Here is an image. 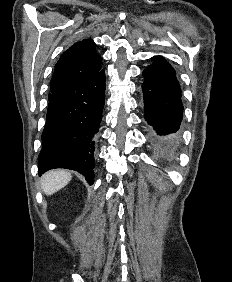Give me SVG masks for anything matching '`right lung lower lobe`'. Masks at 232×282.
I'll use <instances>...</instances> for the list:
<instances>
[{
  "label": "right lung lower lobe",
  "instance_id": "obj_1",
  "mask_svg": "<svg viewBox=\"0 0 232 282\" xmlns=\"http://www.w3.org/2000/svg\"><path fill=\"white\" fill-rule=\"evenodd\" d=\"M39 175L54 168L80 172L94 183V150L105 101V72L82 79L49 98Z\"/></svg>",
  "mask_w": 232,
  "mask_h": 282
}]
</instances>
